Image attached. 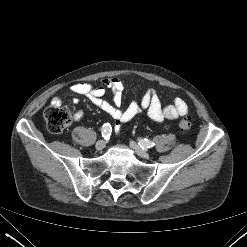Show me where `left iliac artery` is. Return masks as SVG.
Here are the masks:
<instances>
[{
    "instance_id": "obj_1",
    "label": "left iliac artery",
    "mask_w": 247,
    "mask_h": 247,
    "mask_svg": "<svg viewBox=\"0 0 247 247\" xmlns=\"http://www.w3.org/2000/svg\"><path fill=\"white\" fill-rule=\"evenodd\" d=\"M139 145L142 149H148L152 148L154 146V143L148 139H140Z\"/></svg>"
}]
</instances>
